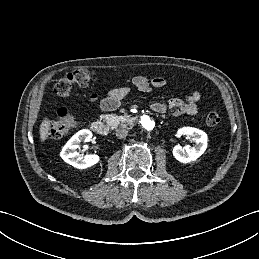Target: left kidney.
Segmentation results:
<instances>
[{
  "label": "left kidney",
  "instance_id": "1",
  "mask_svg": "<svg viewBox=\"0 0 259 259\" xmlns=\"http://www.w3.org/2000/svg\"><path fill=\"white\" fill-rule=\"evenodd\" d=\"M178 134L192 137V140L195 142V146L191 147L187 145L182 147L180 145H176L172 151L176 160L181 163H190L195 161L205 152L208 137L204 131L193 127H183L178 130Z\"/></svg>",
  "mask_w": 259,
  "mask_h": 259
}]
</instances>
